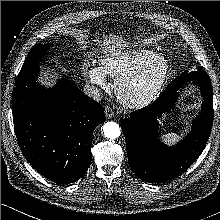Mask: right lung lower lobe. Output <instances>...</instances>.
<instances>
[{
	"instance_id": "obj_1",
	"label": "right lung lower lobe",
	"mask_w": 220,
	"mask_h": 220,
	"mask_svg": "<svg viewBox=\"0 0 220 220\" xmlns=\"http://www.w3.org/2000/svg\"><path fill=\"white\" fill-rule=\"evenodd\" d=\"M12 112L21 151L39 173L58 184L85 174L93 131L105 120L100 103L65 79L49 90L34 82L14 88Z\"/></svg>"
}]
</instances>
